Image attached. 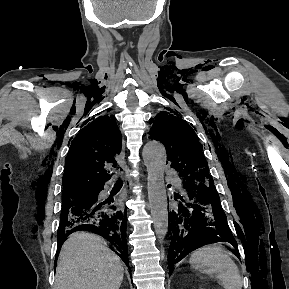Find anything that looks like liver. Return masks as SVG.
Returning <instances> with one entry per match:
<instances>
[{
  "label": "liver",
  "mask_w": 289,
  "mask_h": 289,
  "mask_svg": "<svg viewBox=\"0 0 289 289\" xmlns=\"http://www.w3.org/2000/svg\"><path fill=\"white\" fill-rule=\"evenodd\" d=\"M123 270L101 237L75 232L61 248L54 289H119Z\"/></svg>",
  "instance_id": "1"
}]
</instances>
